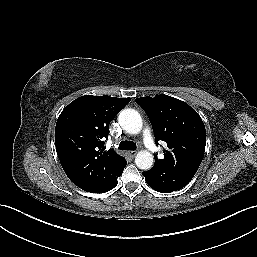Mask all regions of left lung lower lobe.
Returning <instances> with one entry per match:
<instances>
[{"label": "left lung lower lobe", "mask_w": 257, "mask_h": 257, "mask_svg": "<svg viewBox=\"0 0 257 257\" xmlns=\"http://www.w3.org/2000/svg\"><path fill=\"white\" fill-rule=\"evenodd\" d=\"M147 184L156 191L169 193L186 186L193 174L175 169L169 166H156L146 172H142Z\"/></svg>", "instance_id": "left-lung-lower-lobe-1"}]
</instances>
